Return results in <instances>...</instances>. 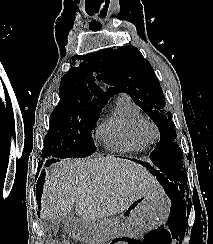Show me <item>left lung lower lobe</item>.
<instances>
[{
    "mask_svg": "<svg viewBox=\"0 0 213 244\" xmlns=\"http://www.w3.org/2000/svg\"><path fill=\"white\" fill-rule=\"evenodd\" d=\"M152 162L156 166V169H153L148 163L145 162H141V163L146 167L150 168L163 185L168 184L174 186L173 182L169 180V175L167 174L165 165L162 162H159L157 160H152Z\"/></svg>",
    "mask_w": 213,
    "mask_h": 244,
    "instance_id": "obj_1",
    "label": "left lung lower lobe"
}]
</instances>
